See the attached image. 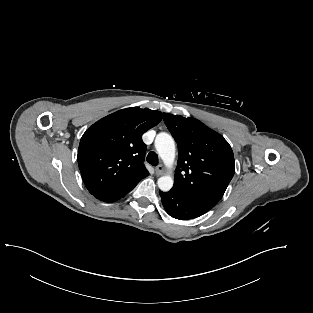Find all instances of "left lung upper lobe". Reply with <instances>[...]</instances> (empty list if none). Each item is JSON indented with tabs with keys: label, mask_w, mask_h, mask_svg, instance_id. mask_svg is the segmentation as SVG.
<instances>
[{
	"label": "left lung upper lobe",
	"mask_w": 313,
	"mask_h": 313,
	"mask_svg": "<svg viewBox=\"0 0 313 313\" xmlns=\"http://www.w3.org/2000/svg\"><path fill=\"white\" fill-rule=\"evenodd\" d=\"M178 144V165L172 190L213 207L234 172V155L223 136L194 118L163 113Z\"/></svg>",
	"instance_id": "1"
}]
</instances>
